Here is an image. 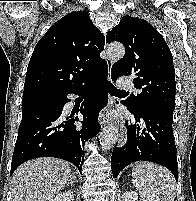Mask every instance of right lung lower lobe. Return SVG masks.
<instances>
[{"label":"right lung lower lobe","instance_id":"98d812e1","mask_svg":"<svg viewBox=\"0 0 196 201\" xmlns=\"http://www.w3.org/2000/svg\"><path fill=\"white\" fill-rule=\"evenodd\" d=\"M106 80L107 70L101 69L84 84L56 95L52 103L23 108L10 174L23 162L37 157L69 161L81 172L85 141L100 131L97 118L108 100L104 88ZM70 93L86 95L80 107L83 115L81 129L74 124L79 121L78 117L63 114L64 105L70 101L67 98Z\"/></svg>","mask_w":196,"mask_h":201}]
</instances>
